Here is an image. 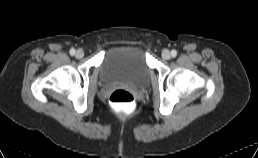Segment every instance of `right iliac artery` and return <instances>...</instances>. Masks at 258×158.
Here are the masks:
<instances>
[{
    "instance_id": "right-iliac-artery-1",
    "label": "right iliac artery",
    "mask_w": 258,
    "mask_h": 158,
    "mask_svg": "<svg viewBox=\"0 0 258 158\" xmlns=\"http://www.w3.org/2000/svg\"><path fill=\"white\" fill-rule=\"evenodd\" d=\"M75 52H76V51H75L74 48L70 49V55H72V56L75 55Z\"/></svg>"
}]
</instances>
